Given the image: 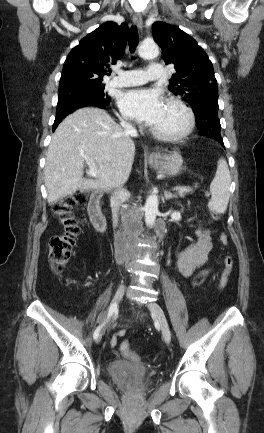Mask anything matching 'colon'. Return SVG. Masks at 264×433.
Returning a JSON list of instances; mask_svg holds the SVG:
<instances>
[{"mask_svg":"<svg viewBox=\"0 0 264 433\" xmlns=\"http://www.w3.org/2000/svg\"><path fill=\"white\" fill-rule=\"evenodd\" d=\"M86 199V193L78 191L63 198L55 205L54 213L63 230L60 234L54 235L50 238L48 250L50 267L56 273H60L64 270L73 253L75 241L80 231L77 219L74 215V209L81 203H84ZM215 218H217V216H215ZM220 242L224 246L228 244L226 234L220 235ZM233 265V258L230 255L225 256L223 259V270L219 282L220 290H223L227 286L229 277L233 270ZM207 276L208 271L200 273L193 279L192 285L194 287L202 285ZM120 350L125 356L133 360H139V356L132 351L129 341H123L120 345Z\"/></svg>","mask_w":264,"mask_h":433,"instance_id":"obj_1","label":"colon"}]
</instances>
